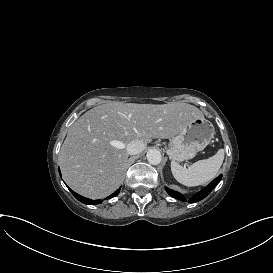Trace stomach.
Instances as JSON below:
<instances>
[{"label":"stomach","mask_w":273,"mask_h":273,"mask_svg":"<svg viewBox=\"0 0 273 273\" xmlns=\"http://www.w3.org/2000/svg\"><path fill=\"white\" fill-rule=\"evenodd\" d=\"M214 134L215 127L208 119L196 117L172 139L168 155L175 161L190 159L210 143Z\"/></svg>","instance_id":"stomach-1"}]
</instances>
